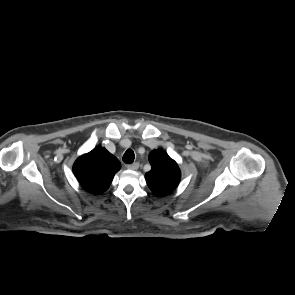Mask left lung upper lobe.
Returning a JSON list of instances; mask_svg holds the SVG:
<instances>
[{
	"label": "left lung upper lobe",
	"instance_id": "5c2ea615",
	"mask_svg": "<svg viewBox=\"0 0 295 295\" xmlns=\"http://www.w3.org/2000/svg\"><path fill=\"white\" fill-rule=\"evenodd\" d=\"M149 161L152 168L145 178L150 190L157 196L173 192L181 179L177 163L162 149L153 150L149 154Z\"/></svg>",
	"mask_w": 295,
	"mask_h": 295
}]
</instances>
